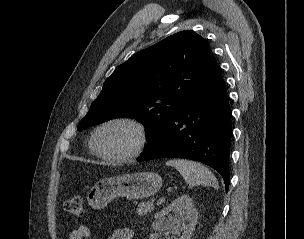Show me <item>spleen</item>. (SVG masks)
<instances>
[{"mask_svg":"<svg viewBox=\"0 0 304 239\" xmlns=\"http://www.w3.org/2000/svg\"><path fill=\"white\" fill-rule=\"evenodd\" d=\"M167 166L176 168L189 186H212L218 188V182L213 173L204 165L185 159H171Z\"/></svg>","mask_w":304,"mask_h":239,"instance_id":"obj_1","label":"spleen"}]
</instances>
